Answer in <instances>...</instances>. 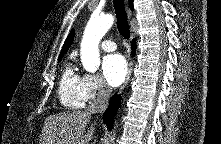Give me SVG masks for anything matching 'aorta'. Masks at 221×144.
Instances as JSON below:
<instances>
[{
    "label": "aorta",
    "instance_id": "obj_1",
    "mask_svg": "<svg viewBox=\"0 0 221 144\" xmlns=\"http://www.w3.org/2000/svg\"><path fill=\"white\" fill-rule=\"evenodd\" d=\"M114 23L111 14L92 16L81 42V61L86 71L95 73L100 66L99 43ZM114 140V138L112 139Z\"/></svg>",
    "mask_w": 221,
    "mask_h": 144
}]
</instances>
